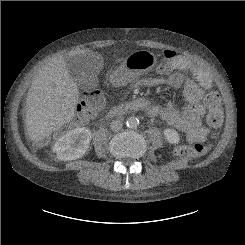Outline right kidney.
<instances>
[{
	"mask_svg": "<svg viewBox=\"0 0 245 245\" xmlns=\"http://www.w3.org/2000/svg\"><path fill=\"white\" fill-rule=\"evenodd\" d=\"M91 137L92 133L86 127L73 129L56 141L53 151L59 160H76L88 150Z\"/></svg>",
	"mask_w": 245,
	"mask_h": 245,
	"instance_id": "obj_1",
	"label": "right kidney"
}]
</instances>
